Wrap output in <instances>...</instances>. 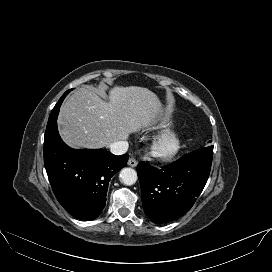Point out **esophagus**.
<instances>
[{"mask_svg": "<svg viewBox=\"0 0 272 272\" xmlns=\"http://www.w3.org/2000/svg\"><path fill=\"white\" fill-rule=\"evenodd\" d=\"M127 164L131 167H136L137 166V161L133 158H130L127 162Z\"/></svg>", "mask_w": 272, "mask_h": 272, "instance_id": "34e87169", "label": "esophagus"}]
</instances>
